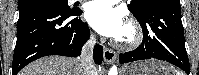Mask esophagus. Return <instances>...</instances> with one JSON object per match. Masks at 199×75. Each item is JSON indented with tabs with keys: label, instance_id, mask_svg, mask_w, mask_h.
Masks as SVG:
<instances>
[{
	"label": "esophagus",
	"instance_id": "obj_1",
	"mask_svg": "<svg viewBox=\"0 0 199 75\" xmlns=\"http://www.w3.org/2000/svg\"><path fill=\"white\" fill-rule=\"evenodd\" d=\"M117 58V54L114 50L104 47V61L106 64H112Z\"/></svg>",
	"mask_w": 199,
	"mask_h": 75
}]
</instances>
